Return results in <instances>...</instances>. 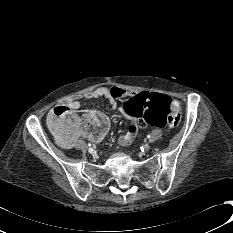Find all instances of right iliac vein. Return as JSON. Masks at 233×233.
<instances>
[{
    "label": "right iliac vein",
    "mask_w": 233,
    "mask_h": 233,
    "mask_svg": "<svg viewBox=\"0 0 233 233\" xmlns=\"http://www.w3.org/2000/svg\"><path fill=\"white\" fill-rule=\"evenodd\" d=\"M89 153L93 154V153H94V150H90V149H89Z\"/></svg>",
    "instance_id": "63e3f726"
}]
</instances>
